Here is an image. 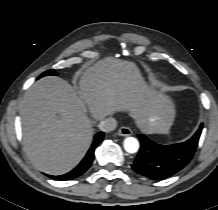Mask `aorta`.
Wrapping results in <instances>:
<instances>
[{"label":"aorta","mask_w":218,"mask_h":210,"mask_svg":"<svg viewBox=\"0 0 218 210\" xmlns=\"http://www.w3.org/2000/svg\"><path fill=\"white\" fill-rule=\"evenodd\" d=\"M124 149L128 153H136L139 149V142L136 138L134 137H127L124 140Z\"/></svg>","instance_id":"obj_1"}]
</instances>
